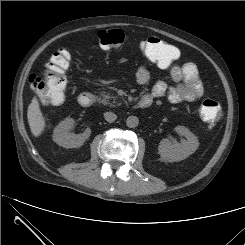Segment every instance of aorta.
<instances>
[{"mask_svg": "<svg viewBox=\"0 0 245 245\" xmlns=\"http://www.w3.org/2000/svg\"><path fill=\"white\" fill-rule=\"evenodd\" d=\"M139 124V119L136 117V116H129L127 119H126V125L129 127V128H135L137 127Z\"/></svg>", "mask_w": 245, "mask_h": 245, "instance_id": "1", "label": "aorta"}]
</instances>
